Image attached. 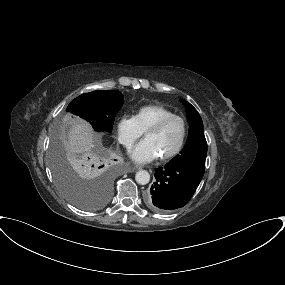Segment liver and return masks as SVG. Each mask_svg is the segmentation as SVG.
<instances>
[{
  "instance_id": "liver-1",
  "label": "liver",
  "mask_w": 285,
  "mask_h": 285,
  "mask_svg": "<svg viewBox=\"0 0 285 285\" xmlns=\"http://www.w3.org/2000/svg\"><path fill=\"white\" fill-rule=\"evenodd\" d=\"M99 137L93 132L90 125L83 120H72L67 132L65 150L72 166L77 167L91 155Z\"/></svg>"
}]
</instances>
